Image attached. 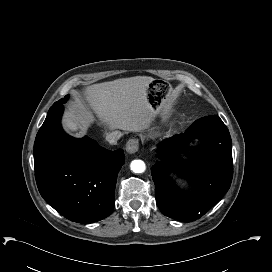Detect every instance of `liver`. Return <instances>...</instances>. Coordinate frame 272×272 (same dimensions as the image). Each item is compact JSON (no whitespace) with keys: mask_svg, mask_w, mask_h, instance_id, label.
<instances>
[{"mask_svg":"<svg viewBox=\"0 0 272 272\" xmlns=\"http://www.w3.org/2000/svg\"><path fill=\"white\" fill-rule=\"evenodd\" d=\"M153 78L135 76L88 86L84 97L96 116L111 130L140 131L153 120L147 100V87ZM64 126L77 132L81 128L72 116L64 118Z\"/></svg>","mask_w":272,"mask_h":272,"instance_id":"1","label":"liver"}]
</instances>
